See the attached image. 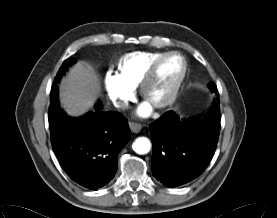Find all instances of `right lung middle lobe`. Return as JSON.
I'll return each instance as SVG.
<instances>
[{"label": "right lung middle lobe", "mask_w": 277, "mask_h": 218, "mask_svg": "<svg viewBox=\"0 0 277 218\" xmlns=\"http://www.w3.org/2000/svg\"><path fill=\"white\" fill-rule=\"evenodd\" d=\"M75 63V59L71 58V59H67L63 62L61 68L59 69V72L57 74V76L61 77L62 73H64L67 68ZM65 114L61 111L59 105H58V101H51L50 104V108H49V125L50 127H54L56 126L59 122L61 117H63Z\"/></svg>", "instance_id": "dd1d6c3e"}]
</instances>
